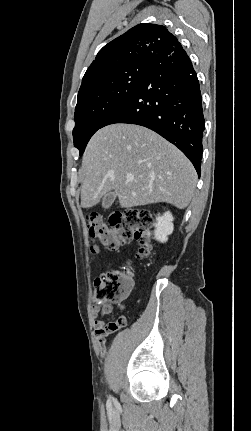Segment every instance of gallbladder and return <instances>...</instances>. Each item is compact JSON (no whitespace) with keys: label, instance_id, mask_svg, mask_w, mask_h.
I'll list each match as a JSON object with an SVG mask.
<instances>
[{"label":"gallbladder","instance_id":"1","mask_svg":"<svg viewBox=\"0 0 251 431\" xmlns=\"http://www.w3.org/2000/svg\"><path fill=\"white\" fill-rule=\"evenodd\" d=\"M115 199H116V196L112 193L104 196L103 201H102V207L104 209H109L112 206V204L114 203Z\"/></svg>","mask_w":251,"mask_h":431}]
</instances>
